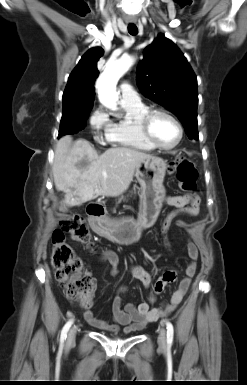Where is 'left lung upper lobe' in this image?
<instances>
[{
    "label": "left lung upper lobe",
    "instance_id": "5c2ea615",
    "mask_svg": "<svg viewBox=\"0 0 247 385\" xmlns=\"http://www.w3.org/2000/svg\"><path fill=\"white\" fill-rule=\"evenodd\" d=\"M137 84L146 97L179 118L190 139H198L196 76L182 52L164 35L144 49Z\"/></svg>",
    "mask_w": 247,
    "mask_h": 385
}]
</instances>
